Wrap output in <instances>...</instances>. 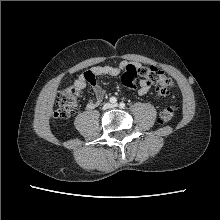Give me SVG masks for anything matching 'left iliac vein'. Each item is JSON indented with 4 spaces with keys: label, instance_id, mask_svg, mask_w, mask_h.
I'll return each instance as SVG.
<instances>
[{
    "label": "left iliac vein",
    "instance_id": "4c4485c4",
    "mask_svg": "<svg viewBox=\"0 0 220 220\" xmlns=\"http://www.w3.org/2000/svg\"><path fill=\"white\" fill-rule=\"evenodd\" d=\"M117 106H118V104H117V103L112 104V107H113V108H115V107H117Z\"/></svg>",
    "mask_w": 220,
    "mask_h": 220
}]
</instances>
